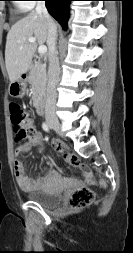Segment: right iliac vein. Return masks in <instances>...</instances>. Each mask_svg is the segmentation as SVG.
Wrapping results in <instances>:
<instances>
[{"label": "right iliac vein", "mask_w": 133, "mask_h": 253, "mask_svg": "<svg viewBox=\"0 0 133 253\" xmlns=\"http://www.w3.org/2000/svg\"><path fill=\"white\" fill-rule=\"evenodd\" d=\"M48 124L56 132H58L59 134H62V128H61V125H60V123H59V121L57 119H49L48 120Z\"/></svg>", "instance_id": "1"}]
</instances>
